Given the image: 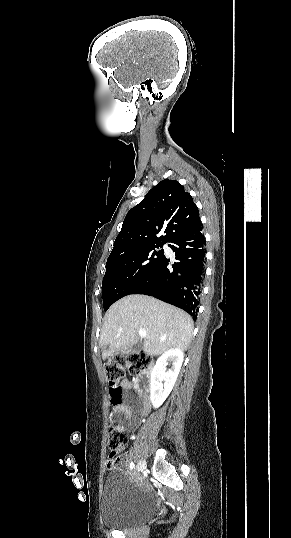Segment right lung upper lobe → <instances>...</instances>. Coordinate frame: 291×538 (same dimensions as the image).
I'll use <instances>...</instances> for the list:
<instances>
[{
	"instance_id": "cb5924a9",
	"label": "right lung upper lobe",
	"mask_w": 291,
	"mask_h": 538,
	"mask_svg": "<svg viewBox=\"0 0 291 538\" xmlns=\"http://www.w3.org/2000/svg\"><path fill=\"white\" fill-rule=\"evenodd\" d=\"M200 223L199 211L183 186L164 179L126 215L109 258L143 247L163 245ZM164 230L165 235L157 237Z\"/></svg>"
}]
</instances>
